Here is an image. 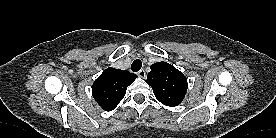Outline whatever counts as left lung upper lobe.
Wrapping results in <instances>:
<instances>
[{"label":"left lung upper lobe","instance_id":"1","mask_svg":"<svg viewBox=\"0 0 276 138\" xmlns=\"http://www.w3.org/2000/svg\"><path fill=\"white\" fill-rule=\"evenodd\" d=\"M146 83L153 89L155 97L166 106L179 105L187 91V79L182 72L166 62L150 66Z\"/></svg>","mask_w":276,"mask_h":138}]
</instances>
